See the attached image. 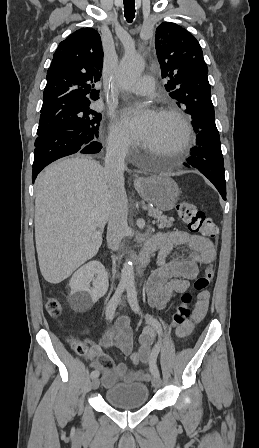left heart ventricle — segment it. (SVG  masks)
<instances>
[{"label": "left heart ventricle", "instance_id": "b2bd125f", "mask_svg": "<svg viewBox=\"0 0 259 448\" xmlns=\"http://www.w3.org/2000/svg\"><path fill=\"white\" fill-rule=\"evenodd\" d=\"M180 132V125L173 116L157 114L156 120L143 134L140 141L149 149L165 154V150L177 141Z\"/></svg>", "mask_w": 259, "mask_h": 448}]
</instances>
